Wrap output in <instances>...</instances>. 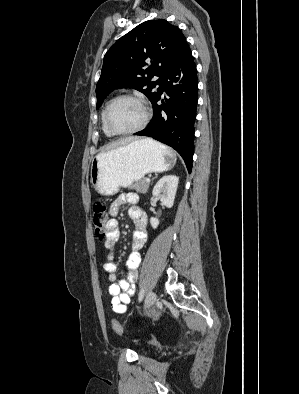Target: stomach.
<instances>
[{
  "mask_svg": "<svg viewBox=\"0 0 299 394\" xmlns=\"http://www.w3.org/2000/svg\"><path fill=\"white\" fill-rule=\"evenodd\" d=\"M175 163L170 149L151 139L135 140L98 154L91 163L90 182L99 194L109 196L148 173L170 170Z\"/></svg>",
  "mask_w": 299,
  "mask_h": 394,
  "instance_id": "stomach-1",
  "label": "stomach"
}]
</instances>
